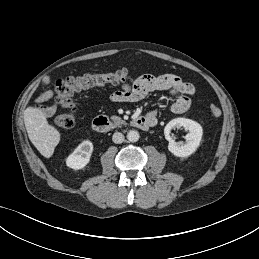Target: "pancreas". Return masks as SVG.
Returning <instances> with one entry per match:
<instances>
[{"label":"pancreas","instance_id":"cf45deb5","mask_svg":"<svg viewBox=\"0 0 259 259\" xmlns=\"http://www.w3.org/2000/svg\"><path fill=\"white\" fill-rule=\"evenodd\" d=\"M111 120L114 122L115 127H121L123 124H125V121L116 115L111 116Z\"/></svg>","mask_w":259,"mask_h":259}]
</instances>
